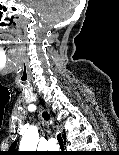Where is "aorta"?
Listing matches in <instances>:
<instances>
[{
  "label": "aorta",
  "mask_w": 119,
  "mask_h": 155,
  "mask_svg": "<svg viewBox=\"0 0 119 155\" xmlns=\"http://www.w3.org/2000/svg\"><path fill=\"white\" fill-rule=\"evenodd\" d=\"M37 143H38L37 128L31 126L21 139L20 150L34 151L37 147Z\"/></svg>",
  "instance_id": "1"
}]
</instances>
